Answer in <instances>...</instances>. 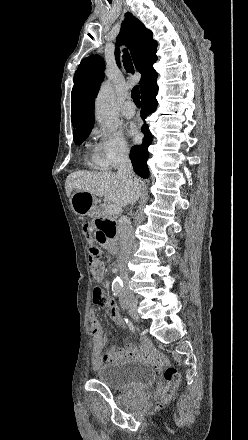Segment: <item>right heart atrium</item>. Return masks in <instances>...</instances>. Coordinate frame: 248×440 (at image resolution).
Returning <instances> with one entry per match:
<instances>
[{"label":"right heart atrium","mask_w":248,"mask_h":440,"mask_svg":"<svg viewBox=\"0 0 248 440\" xmlns=\"http://www.w3.org/2000/svg\"><path fill=\"white\" fill-rule=\"evenodd\" d=\"M96 143L93 146V164L103 170L119 166L130 154L127 141L118 132L94 129Z\"/></svg>","instance_id":"1"}]
</instances>
